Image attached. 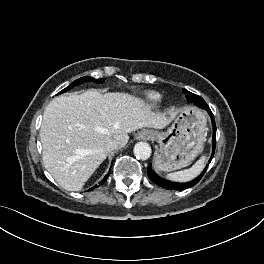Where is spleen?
<instances>
[{
	"label": "spleen",
	"instance_id": "obj_1",
	"mask_svg": "<svg viewBox=\"0 0 264 264\" xmlns=\"http://www.w3.org/2000/svg\"><path fill=\"white\" fill-rule=\"evenodd\" d=\"M206 156L203 155L200 159L189 169L173 172L167 174V178L174 182H188L196 178L204 169Z\"/></svg>",
	"mask_w": 264,
	"mask_h": 264
}]
</instances>
